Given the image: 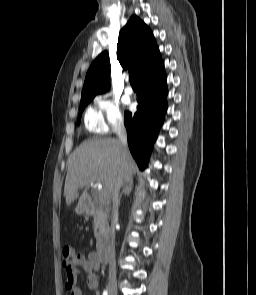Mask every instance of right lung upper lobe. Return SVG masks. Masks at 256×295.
<instances>
[{"label":"right lung upper lobe","instance_id":"cb5924a9","mask_svg":"<svg viewBox=\"0 0 256 295\" xmlns=\"http://www.w3.org/2000/svg\"><path fill=\"white\" fill-rule=\"evenodd\" d=\"M117 59L123 69L137 79L158 65L162 59L155 38L147 25L136 16H132L125 27L120 31L117 45ZM110 64L107 51L101 53L89 67L82 97H95L99 93L109 90Z\"/></svg>","mask_w":256,"mask_h":295}]
</instances>
